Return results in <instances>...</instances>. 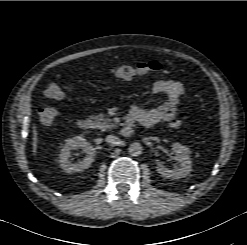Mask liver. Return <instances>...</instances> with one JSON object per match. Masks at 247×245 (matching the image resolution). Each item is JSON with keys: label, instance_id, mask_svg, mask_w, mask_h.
Returning <instances> with one entry per match:
<instances>
[{"label": "liver", "instance_id": "1", "mask_svg": "<svg viewBox=\"0 0 247 245\" xmlns=\"http://www.w3.org/2000/svg\"><path fill=\"white\" fill-rule=\"evenodd\" d=\"M37 131L36 129L34 128L33 130V144H32V147H33V154L35 155L36 154V150H37Z\"/></svg>", "mask_w": 247, "mask_h": 245}]
</instances>
